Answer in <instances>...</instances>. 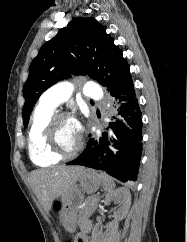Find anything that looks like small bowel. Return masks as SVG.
<instances>
[{
  "instance_id": "obj_1",
  "label": "small bowel",
  "mask_w": 187,
  "mask_h": 242,
  "mask_svg": "<svg viewBox=\"0 0 187 242\" xmlns=\"http://www.w3.org/2000/svg\"><path fill=\"white\" fill-rule=\"evenodd\" d=\"M80 231L76 237L77 242H88V233L92 229V223L89 220H82L79 224Z\"/></svg>"
}]
</instances>
